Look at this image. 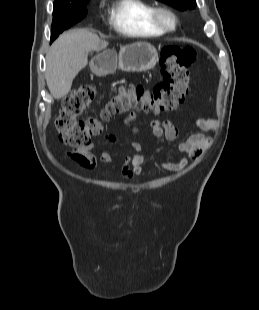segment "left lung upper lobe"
I'll return each instance as SVG.
<instances>
[{
	"instance_id": "1",
	"label": "left lung upper lobe",
	"mask_w": 259,
	"mask_h": 310,
	"mask_svg": "<svg viewBox=\"0 0 259 310\" xmlns=\"http://www.w3.org/2000/svg\"><path fill=\"white\" fill-rule=\"evenodd\" d=\"M179 10L193 9L196 6V0H159Z\"/></svg>"
}]
</instances>
